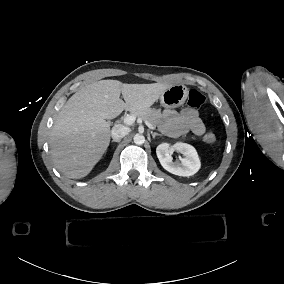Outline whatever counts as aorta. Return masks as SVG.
I'll list each match as a JSON object with an SVG mask.
<instances>
[{
    "mask_svg": "<svg viewBox=\"0 0 284 284\" xmlns=\"http://www.w3.org/2000/svg\"><path fill=\"white\" fill-rule=\"evenodd\" d=\"M133 140L135 144L142 145L145 142V137L142 134H136Z\"/></svg>",
    "mask_w": 284,
    "mask_h": 284,
    "instance_id": "obj_1",
    "label": "aorta"
}]
</instances>
